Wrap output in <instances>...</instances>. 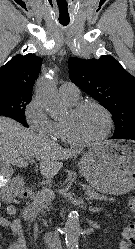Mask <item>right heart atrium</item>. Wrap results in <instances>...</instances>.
<instances>
[{
	"label": "right heart atrium",
	"mask_w": 135,
	"mask_h": 249,
	"mask_svg": "<svg viewBox=\"0 0 135 249\" xmlns=\"http://www.w3.org/2000/svg\"><path fill=\"white\" fill-rule=\"evenodd\" d=\"M25 120L29 127L39 135L53 137L54 121L47 115L38 96H34L25 108Z\"/></svg>",
	"instance_id": "right-heart-atrium-1"
}]
</instances>
